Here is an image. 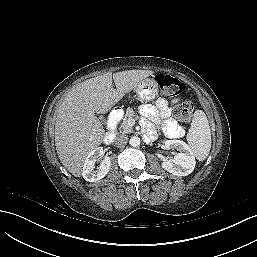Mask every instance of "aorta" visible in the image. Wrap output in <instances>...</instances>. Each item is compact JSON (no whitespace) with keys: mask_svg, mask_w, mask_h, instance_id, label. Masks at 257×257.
<instances>
[{"mask_svg":"<svg viewBox=\"0 0 257 257\" xmlns=\"http://www.w3.org/2000/svg\"><path fill=\"white\" fill-rule=\"evenodd\" d=\"M140 138L138 136H132L129 140V144L133 147H138L140 145Z\"/></svg>","mask_w":257,"mask_h":257,"instance_id":"1","label":"aorta"}]
</instances>
